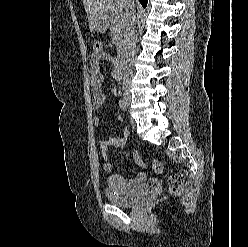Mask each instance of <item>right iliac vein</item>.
Instances as JSON below:
<instances>
[{
  "instance_id": "right-iliac-vein-1",
  "label": "right iliac vein",
  "mask_w": 248,
  "mask_h": 247,
  "mask_svg": "<svg viewBox=\"0 0 248 247\" xmlns=\"http://www.w3.org/2000/svg\"><path fill=\"white\" fill-rule=\"evenodd\" d=\"M123 101L128 106L130 104V97L129 96H124Z\"/></svg>"
}]
</instances>
